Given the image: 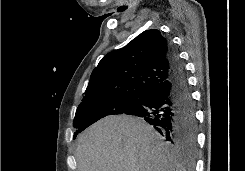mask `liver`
I'll return each instance as SVG.
<instances>
[{"instance_id":"obj_1","label":"liver","mask_w":245,"mask_h":171,"mask_svg":"<svg viewBox=\"0 0 245 171\" xmlns=\"http://www.w3.org/2000/svg\"><path fill=\"white\" fill-rule=\"evenodd\" d=\"M154 128L131 116H108L78 138V171H186Z\"/></svg>"}]
</instances>
